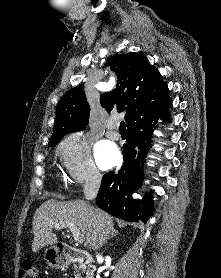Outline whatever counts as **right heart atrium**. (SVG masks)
Masks as SVG:
<instances>
[{
	"label": "right heart atrium",
	"instance_id": "obj_1",
	"mask_svg": "<svg viewBox=\"0 0 221 278\" xmlns=\"http://www.w3.org/2000/svg\"><path fill=\"white\" fill-rule=\"evenodd\" d=\"M90 147L88 138L82 132L70 133L58 146L57 151L61 165L74 183L95 184L101 179Z\"/></svg>",
	"mask_w": 221,
	"mask_h": 278
}]
</instances>
